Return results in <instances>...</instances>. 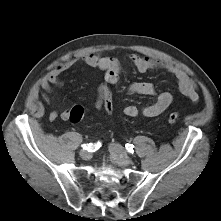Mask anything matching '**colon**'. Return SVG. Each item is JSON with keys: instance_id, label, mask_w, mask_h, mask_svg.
Masks as SVG:
<instances>
[{"instance_id": "5ec220e1", "label": "colon", "mask_w": 221, "mask_h": 221, "mask_svg": "<svg viewBox=\"0 0 221 221\" xmlns=\"http://www.w3.org/2000/svg\"><path fill=\"white\" fill-rule=\"evenodd\" d=\"M103 74L105 77L110 78L113 75V72L111 68L106 67L103 70ZM103 105H102V110L104 112V115L111 119L114 120L117 117V114L115 112V106H114V97L112 93V88L109 85L104 86L103 88ZM85 110L82 105H75L70 109L69 112V120L73 123H77L82 120L84 116ZM180 114L175 111H171L167 114L166 119L169 123H175L179 120Z\"/></svg>"}]
</instances>
